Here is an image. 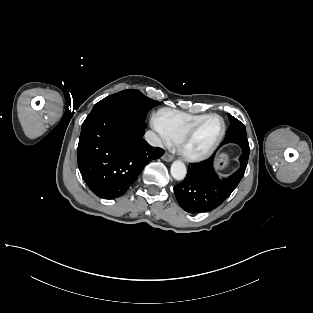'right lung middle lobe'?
Masks as SVG:
<instances>
[{
  "instance_id": "dd1d6c3e",
  "label": "right lung middle lobe",
  "mask_w": 313,
  "mask_h": 313,
  "mask_svg": "<svg viewBox=\"0 0 313 313\" xmlns=\"http://www.w3.org/2000/svg\"><path fill=\"white\" fill-rule=\"evenodd\" d=\"M154 101L135 89H127L110 95L96 103L89 115L101 110L115 109L126 112L140 122H144L147 112L157 106Z\"/></svg>"
}]
</instances>
